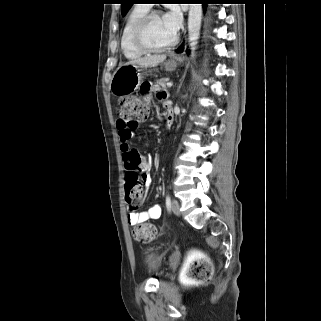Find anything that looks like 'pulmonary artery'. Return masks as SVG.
<instances>
[{
	"label": "pulmonary artery",
	"mask_w": 321,
	"mask_h": 321,
	"mask_svg": "<svg viewBox=\"0 0 321 321\" xmlns=\"http://www.w3.org/2000/svg\"><path fill=\"white\" fill-rule=\"evenodd\" d=\"M144 6L147 7V8H150V5H148V4H145Z\"/></svg>",
	"instance_id": "1"
}]
</instances>
